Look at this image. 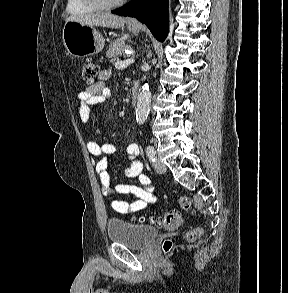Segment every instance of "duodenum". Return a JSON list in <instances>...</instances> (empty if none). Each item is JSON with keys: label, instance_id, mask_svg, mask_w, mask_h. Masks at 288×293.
Instances as JSON below:
<instances>
[{"label": "duodenum", "instance_id": "obj_1", "mask_svg": "<svg viewBox=\"0 0 288 293\" xmlns=\"http://www.w3.org/2000/svg\"><path fill=\"white\" fill-rule=\"evenodd\" d=\"M139 99V84L137 81L133 83L132 93H131V103L136 105Z\"/></svg>", "mask_w": 288, "mask_h": 293}]
</instances>
